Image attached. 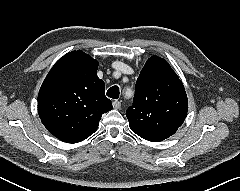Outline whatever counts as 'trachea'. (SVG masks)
I'll list each match as a JSON object with an SVG mask.
<instances>
[{
    "label": "trachea",
    "mask_w": 240,
    "mask_h": 191,
    "mask_svg": "<svg viewBox=\"0 0 240 191\" xmlns=\"http://www.w3.org/2000/svg\"><path fill=\"white\" fill-rule=\"evenodd\" d=\"M119 94H120V91H119V87L118 86H112L107 91V96L112 98V99H118L119 98Z\"/></svg>",
    "instance_id": "1"
}]
</instances>
